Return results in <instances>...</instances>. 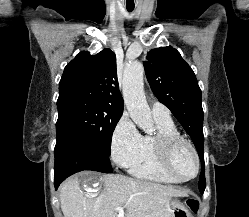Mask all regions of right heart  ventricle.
I'll use <instances>...</instances> for the list:
<instances>
[{"mask_svg":"<svg viewBox=\"0 0 249 217\" xmlns=\"http://www.w3.org/2000/svg\"><path fill=\"white\" fill-rule=\"evenodd\" d=\"M157 126L155 135L142 136L141 145L135 158L129 165V172L138 178L164 183L175 184L180 181L169 175L164 169L156 139L160 134L180 135L172 119L154 118Z\"/></svg>","mask_w":249,"mask_h":217,"instance_id":"right-heart-ventricle-1","label":"right heart ventricle"}]
</instances>
